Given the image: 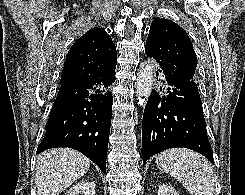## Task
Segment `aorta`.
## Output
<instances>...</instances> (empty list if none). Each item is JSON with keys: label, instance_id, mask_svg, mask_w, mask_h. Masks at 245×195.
<instances>
[{"label": "aorta", "instance_id": "1", "mask_svg": "<svg viewBox=\"0 0 245 195\" xmlns=\"http://www.w3.org/2000/svg\"><path fill=\"white\" fill-rule=\"evenodd\" d=\"M153 83V66L147 62L140 65L135 83L136 97L140 106H145L151 91Z\"/></svg>", "mask_w": 245, "mask_h": 195}]
</instances>
